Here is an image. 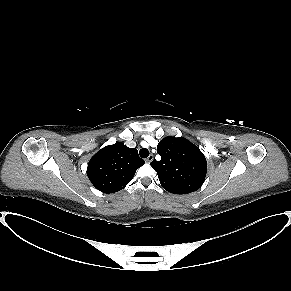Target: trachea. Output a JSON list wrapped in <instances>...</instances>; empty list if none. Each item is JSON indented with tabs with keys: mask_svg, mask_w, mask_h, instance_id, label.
<instances>
[{
	"mask_svg": "<svg viewBox=\"0 0 291 291\" xmlns=\"http://www.w3.org/2000/svg\"><path fill=\"white\" fill-rule=\"evenodd\" d=\"M139 155L142 157V158H147L149 156V150L146 149V148H142L140 151H139Z\"/></svg>",
	"mask_w": 291,
	"mask_h": 291,
	"instance_id": "obj_1",
	"label": "trachea"
}]
</instances>
